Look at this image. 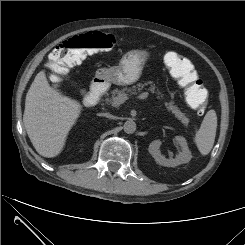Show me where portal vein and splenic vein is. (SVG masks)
<instances>
[{"instance_id":"18ae733b","label":"portal vein and splenic vein","mask_w":245,"mask_h":245,"mask_svg":"<svg viewBox=\"0 0 245 245\" xmlns=\"http://www.w3.org/2000/svg\"><path fill=\"white\" fill-rule=\"evenodd\" d=\"M148 97V93L147 92H145V93H142L141 95H139L137 98L138 99H145V98H147ZM129 98H128V96L127 95H120V96H118V97H116L115 99H114V102H113V105H115V106H118V105H120V104H123L126 100H128Z\"/></svg>"}]
</instances>
